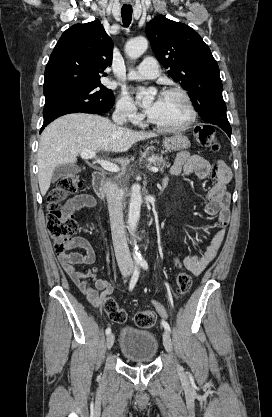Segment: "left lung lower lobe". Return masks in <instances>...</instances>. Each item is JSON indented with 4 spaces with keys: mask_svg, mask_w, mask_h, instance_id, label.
Wrapping results in <instances>:
<instances>
[{
    "mask_svg": "<svg viewBox=\"0 0 272 417\" xmlns=\"http://www.w3.org/2000/svg\"><path fill=\"white\" fill-rule=\"evenodd\" d=\"M223 130L228 134L229 137L231 136V131H232L231 128L230 129L224 128Z\"/></svg>",
    "mask_w": 272,
    "mask_h": 417,
    "instance_id": "left-lung-lower-lobe-1",
    "label": "left lung lower lobe"
}]
</instances>
